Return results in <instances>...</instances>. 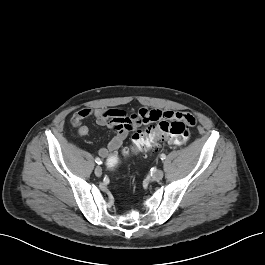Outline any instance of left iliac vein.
<instances>
[{
    "label": "left iliac vein",
    "mask_w": 265,
    "mask_h": 265,
    "mask_svg": "<svg viewBox=\"0 0 265 265\" xmlns=\"http://www.w3.org/2000/svg\"><path fill=\"white\" fill-rule=\"evenodd\" d=\"M163 176H164V173L162 170H156L153 174V179L158 181V180H161Z\"/></svg>",
    "instance_id": "obj_1"
}]
</instances>
